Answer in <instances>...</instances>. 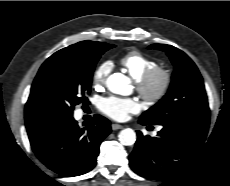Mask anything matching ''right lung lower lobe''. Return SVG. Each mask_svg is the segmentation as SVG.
<instances>
[{
	"mask_svg": "<svg viewBox=\"0 0 230 186\" xmlns=\"http://www.w3.org/2000/svg\"><path fill=\"white\" fill-rule=\"evenodd\" d=\"M31 147L49 169L67 177L82 175L96 165L102 140L111 132L110 122L95 115L79 127L73 117H42L26 123Z\"/></svg>",
	"mask_w": 230,
	"mask_h": 186,
	"instance_id": "98d812e1",
	"label": "right lung lower lobe"
}]
</instances>
